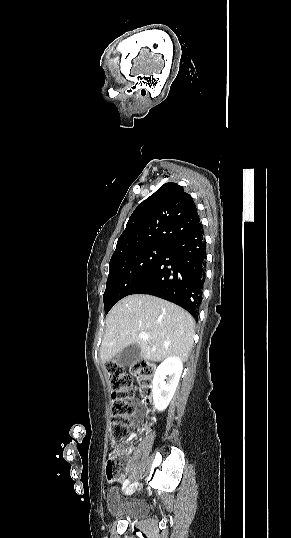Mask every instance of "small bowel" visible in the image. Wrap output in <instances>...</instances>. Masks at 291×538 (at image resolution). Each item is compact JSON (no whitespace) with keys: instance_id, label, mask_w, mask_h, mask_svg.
I'll list each match as a JSON object with an SVG mask.
<instances>
[{"instance_id":"1","label":"small bowel","mask_w":291,"mask_h":538,"mask_svg":"<svg viewBox=\"0 0 291 538\" xmlns=\"http://www.w3.org/2000/svg\"><path fill=\"white\" fill-rule=\"evenodd\" d=\"M134 425L138 424V418L133 422ZM124 456H127V454H123Z\"/></svg>"}]
</instances>
